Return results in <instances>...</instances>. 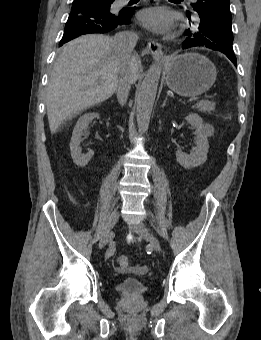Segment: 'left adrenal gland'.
<instances>
[{
  "instance_id": "a2214340",
  "label": "left adrenal gland",
  "mask_w": 261,
  "mask_h": 340,
  "mask_svg": "<svg viewBox=\"0 0 261 340\" xmlns=\"http://www.w3.org/2000/svg\"><path fill=\"white\" fill-rule=\"evenodd\" d=\"M166 101H167V97L164 99V102L162 104V107H165L166 106Z\"/></svg>"
}]
</instances>
